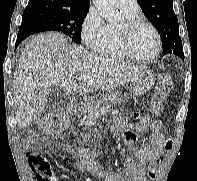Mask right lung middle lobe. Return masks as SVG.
Segmentation results:
<instances>
[{"label":"right lung middle lobe","mask_w":197,"mask_h":181,"mask_svg":"<svg viewBox=\"0 0 197 181\" xmlns=\"http://www.w3.org/2000/svg\"><path fill=\"white\" fill-rule=\"evenodd\" d=\"M88 10L70 11L54 8H35L25 10L22 24L39 32L60 31L68 35L75 43H81V27Z\"/></svg>","instance_id":"1"}]
</instances>
